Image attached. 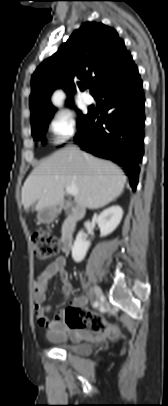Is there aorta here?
Instances as JSON below:
<instances>
[{
  "label": "aorta",
  "instance_id": "aorta-1",
  "mask_svg": "<svg viewBox=\"0 0 168 406\" xmlns=\"http://www.w3.org/2000/svg\"><path fill=\"white\" fill-rule=\"evenodd\" d=\"M65 94L61 90H57L54 92L52 96V103L56 107H61L64 103Z\"/></svg>",
  "mask_w": 168,
  "mask_h": 406
}]
</instances>
